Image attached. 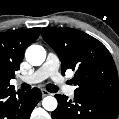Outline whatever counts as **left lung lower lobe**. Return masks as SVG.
I'll use <instances>...</instances> for the list:
<instances>
[{
    "label": "left lung lower lobe",
    "instance_id": "left-lung-lower-lobe-1",
    "mask_svg": "<svg viewBox=\"0 0 119 119\" xmlns=\"http://www.w3.org/2000/svg\"><path fill=\"white\" fill-rule=\"evenodd\" d=\"M58 107L52 112V119H117L119 102L94 98L75 93L74 100L65 95H55Z\"/></svg>",
    "mask_w": 119,
    "mask_h": 119
}]
</instances>
